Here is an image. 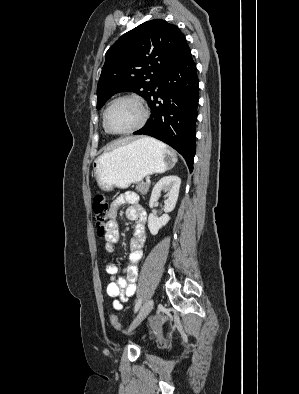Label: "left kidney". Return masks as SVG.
<instances>
[{"mask_svg": "<svg viewBox=\"0 0 299 394\" xmlns=\"http://www.w3.org/2000/svg\"><path fill=\"white\" fill-rule=\"evenodd\" d=\"M180 185L181 179L178 176L170 175L161 178L153 187L151 198L149 201L150 208H153L154 202L159 199L161 191H165L168 193L167 199H165L164 201L165 214H163L161 217H157L153 213L149 214L148 228L152 235H157L159 230L169 222L170 217L168 213L173 211L176 206Z\"/></svg>", "mask_w": 299, "mask_h": 394, "instance_id": "5707ae66", "label": "left kidney"}]
</instances>
